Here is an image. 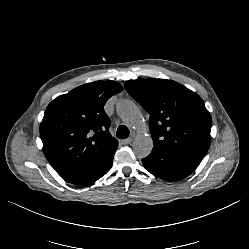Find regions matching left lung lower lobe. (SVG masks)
<instances>
[{
	"mask_svg": "<svg viewBox=\"0 0 249 249\" xmlns=\"http://www.w3.org/2000/svg\"><path fill=\"white\" fill-rule=\"evenodd\" d=\"M201 161L183 158L172 153L153 149L142 159L144 167L155 176L166 181H179L190 175Z\"/></svg>",
	"mask_w": 249,
	"mask_h": 249,
	"instance_id": "1",
	"label": "left lung lower lobe"
}]
</instances>
